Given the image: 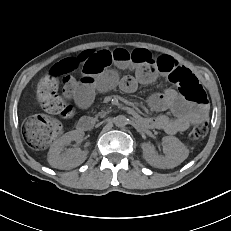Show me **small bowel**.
<instances>
[{
    "label": "small bowel",
    "instance_id": "1",
    "mask_svg": "<svg viewBox=\"0 0 231 231\" xmlns=\"http://www.w3.org/2000/svg\"><path fill=\"white\" fill-rule=\"evenodd\" d=\"M134 51V50H133ZM123 48L114 50L84 51L60 61L68 72L80 70V80L69 76L66 90L73 96L80 107H87L92 102L96 92H106L119 86L125 92H133L139 84L152 83L158 76L170 79L173 72L190 70L180 65L169 56L153 58L146 49L139 51L135 58L132 52ZM115 66L120 70H134L133 75L120 76ZM149 105L157 111L169 110L173 117L159 115L154 118H140L143 125L175 134L187 130L191 125L206 120L208 105L190 100L178 94L174 89H166L163 93L154 94L149 98Z\"/></svg>",
    "mask_w": 231,
    "mask_h": 231
}]
</instances>
